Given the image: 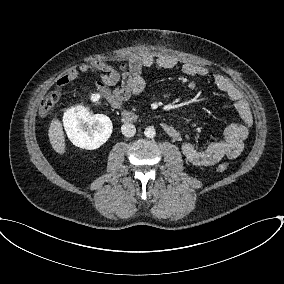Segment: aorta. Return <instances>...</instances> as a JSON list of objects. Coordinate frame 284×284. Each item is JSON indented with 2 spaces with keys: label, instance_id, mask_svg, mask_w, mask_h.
I'll return each instance as SVG.
<instances>
[{
  "label": "aorta",
  "instance_id": "aorta-1",
  "mask_svg": "<svg viewBox=\"0 0 284 284\" xmlns=\"http://www.w3.org/2000/svg\"><path fill=\"white\" fill-rule=\"evenodd\" d=\"M144 134L147 138H154L156 135V131L154 129V127H147L144 131Z\"/></svg>",
  "mask_w": 284,
  "mask_h": 284
}]
</instances>
